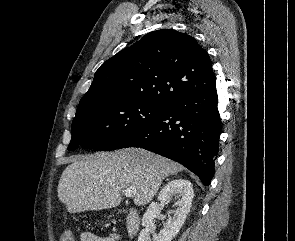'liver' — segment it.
<instances>
[{
	"mask_svg": "<svg viewBox=\"0 0 295 241\" xmlns=\"http://www.w3.org/2000/svg\"><path fill=\"white\" fill-rule=\"evenodd\" d=\"M183 168L138 148L78 156L60 177L58 198L69 213L102 210L118 206L120 192L134 187V204L143 206L157 194L165 177Z\"/></svg>",
	"mask_w": 295,
	"mask_h": 241,
	"instance_id": "1",
	"label": "liver"
}]
</instances>
